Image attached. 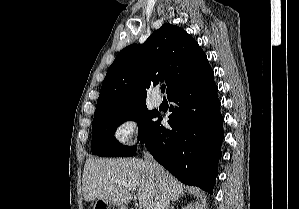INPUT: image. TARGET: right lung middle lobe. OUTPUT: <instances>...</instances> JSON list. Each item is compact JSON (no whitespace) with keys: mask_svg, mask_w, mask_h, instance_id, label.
Here are the masks:
<instances>
[{"mask_svg":"<svg viewBox=\"0 0 299 209\" xmlns=\"http://www.w3.org/2000/svg\"><path fill=\"white\" fill-rule=\"evenodd\" d=\"M157 114L149 111L146 104L125 107L95 115L92 123V154L98 156H131L136 147L121 145L114 137L115 130L124 121L133 120L139 126V140L143 139L149 127L153 124L152 119Z\"/></svg>","mask_w":299,"mask_h":209,"instance_id":"1","label":"right lung middle lobe"}]
</instances>
